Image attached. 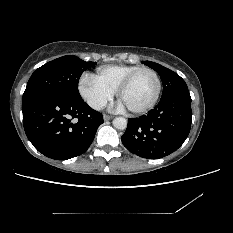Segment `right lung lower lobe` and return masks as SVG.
Masks as SVG:
<instances>
[{
	"label": "right lung lower lobe",
	"instance_id": "right-lung-lower-lobe-1",
	"mask_svg": "<svg viewBox=\"0 0 233 233\" xmlns=\"http://www.w3.org/2000/svg\"><path fill=\"white\" fill-rule=\"evenodd\" d=\"M23 125L33 146L55 160H67L84 153L91 145L101 113L84 100L45 93L22 101Z\"/></svg>",
	"mask_w": 233,
	"mask_h": 233
}]
</instances>
